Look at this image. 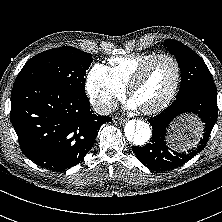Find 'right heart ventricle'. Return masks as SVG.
I'll use <instances>...</instances> for the list:
<instances>
[{
  "label": "right heart ventricle",
  "mask_w": 222,
  "mask_h": 222,
  "mask_svg": "<svg viewBox=\"0 0 222 222\" xmlns=\"http://www.w3.org/2000/svg\"><path fill=\"white\" fill-rule=\"evenodd\" d=\"M155 55L154 52H145L111 58L109 69L115 80L122 86L127 87L137 69Z\"/></svg>",
  "instance_id": "e07e8e85"
}]
</instances>
